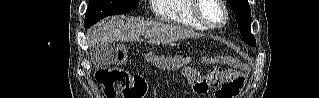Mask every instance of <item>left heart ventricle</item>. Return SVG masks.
<instances>
[{
    "label": "left heart ventricle",
    "mask_w": 319,
    "mask_h": 98,
    "mask_svg": "<svg viewBox=\"0 0 319 98\" xmlns=\"http://www.w3.org/2000/svg\"><path fill=\"white\" fill-rule=\"evenodd\" d=\"M201 12L213 24H220L224 19L223 9L214 0L203 1Z\"/></svg>",
    "instance_id": "1"
}]
</instances>
